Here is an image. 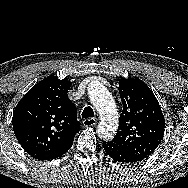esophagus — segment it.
<instances>
[{
    "label": "esophagus",
    "mask_w": 188,
    "mask_h": 188,
    "mask_svg": "<svg viewBox=\"0 0 188 188\" xmlns=\"http://www.w3.org/2000/svg\"><path fill=\"white\" fill-rule=\"evenodd\" d=\"M83 124L86 127H92L97 125V120L95 118H87L83 120Z\"/></svg>",
    "instance_id": "obj_1"
}]
</instances>
